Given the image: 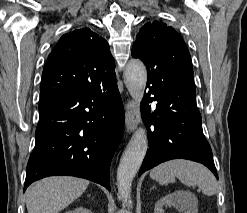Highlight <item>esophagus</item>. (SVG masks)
<instances>
[{
	"instance_id": "obj_1",
	"label": "esophagus",
	"mask_w": 247,
	"mask_h": 213,
	"mask_svg": "<svg viewBox=\"0 0 247 213\" xmlns=\"http://www.w3.org/2000/svg\"><path fill=\"white\" fill-rule=\"evenodd\" d=\"M126 128L128 132H132L136 129L138 124V112L137 105L134 100H129L126 103Z\"/></svg>"
}]
</instances>
